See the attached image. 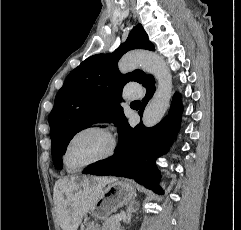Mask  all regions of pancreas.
I'll return each mask as SVG.
<instances>
[{
  "label": "pancreas",
  "mask_w": 241,
  "mask_h": 230,
  "mask_svg": "<svg viewBox=\"0 0 241 230\" xmlns=\"http://www.w3.org/2000/svg\"><path fill=\"white\" fill-rule=\"evenodd\" d=\"M103 230H121L120 223L115 219V216H111L104 221Z\"/></svg>",
  "instance_id": "cf45deb5"
}]
</instances>
